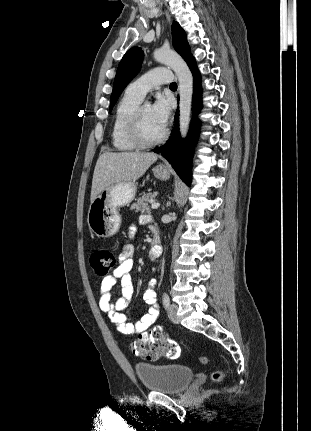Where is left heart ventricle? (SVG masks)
<instances>
[{
	"instance_id": "b2bd125f",
	"label": "left heart ventricle",
	"mask_w": 311,
	"mask_h": 431,
	"mask_svg": "<svg viewBox=\"0 0 311 431\" xmlns=\"http://www.w3.org/2000/svg\"><path fill=\"white\" fill-rule=\"evenodd\" d=\"M143 127L145 136L149 140L159 138L164 132V129L155 121L149 105L144 106Z\"/></svg>"
}]
</instances>
